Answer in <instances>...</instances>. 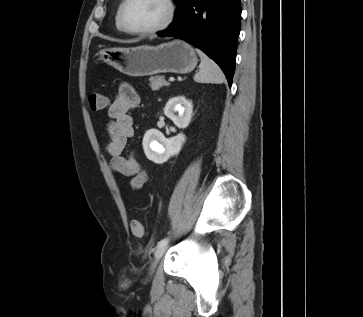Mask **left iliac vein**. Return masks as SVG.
Segmentation results:
<instances>
[{"mask_svg": "<svg viewBox=\"0 0 363 317\" xmlns=\"http://www.w3.org/2000/svg\"><path fill=\"white\" fill-rule=\"evenodd\" d=\"M167 248H168V246L165 245V246L158 247L156 249V251L154 253V261L152 262V265H151V272H153V270L156 267L157 263L162 258V256L165 254Z\"/></svg>", "mask_w": 363, "mask_h": 317, "instance_id": "left-iliac-vein-1", "label": "left iliac vein"}]
</instances>
